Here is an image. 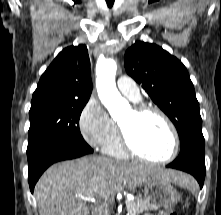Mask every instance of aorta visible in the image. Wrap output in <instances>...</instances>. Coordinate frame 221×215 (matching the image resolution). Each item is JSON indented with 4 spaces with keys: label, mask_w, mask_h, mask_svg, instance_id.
<instances>
[{
    "label": "aorta",
    "mask_w": 221,
    "mask_h": 215,
    "mask_svg": "<svg viewBox=\"0 0 221 215\" xmlns=\"http://www.w3.org/2000/svg\"><path fill=\"white\" fill-rule=\"evenodd\" d=\"M116 61L112 58L99 60L96 64V88L98 96L111 116H115L121 109L129 107L116 88Z\"/></svg>",
    "instance_id": "762f6f07"
}]
</instances>
